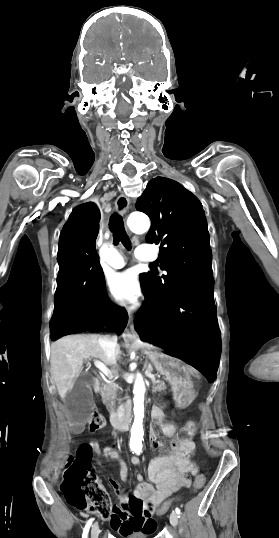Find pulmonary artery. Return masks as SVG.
<instances>
[{
  "label": "pulmonary artery",
  "instance_id": "e3ab8cb5",
  "mask_svg": "<svg viewBox=\"0 0 279 538\" xmlns=\"http://www.w3.org/2000/svg\"><path fill=\"white\" fill-rule=\"evenodd\" d=\"M125 260L126 257L122 251L112 249L110 255L105 257L101 263L104 269H117L125 264Z\"/></svg>",
  "mask_w": 279,
  "mask_h": 538
}]
</instances>
